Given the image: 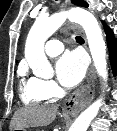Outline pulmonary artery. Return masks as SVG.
I'll return each mask as SVG.
<instances>
[{
  "mask_svg": "<svg viewBox=\"0 0 117 131\" xmlns=\"http://www.w3.org/2000/svg\"><path fill=\"white\" fill-rule=\"evenodd\" d=\"M64 49L61 41L52 39L45 44V52L47 55L54 57L60 54Z\"/></svg>",
  "mask_w": 117,
  "mask_h": 131,
  "instance_id": "e3ab8cb5",
  "label": "pulmonary artery"
}]
</instances>
